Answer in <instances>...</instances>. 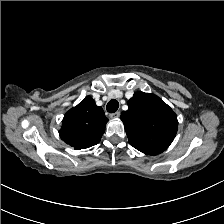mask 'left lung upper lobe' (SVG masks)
Here are the masks:
<instances>
[{
  "label": "left lung upper lobe",
  "instance_id": "obj_1",
  "mask_svg": "<svg viewBox=\"0 0 224 224\" xmlns=\"http://www.w3.org/2000/svg\"><path fill=\"white\" fill-rule=\"evenodd\" d=\"M121 113L129 143L137 150L157 155L172 143L178 126L173 110L158 96L138 91Z\"/></svg>",
  "mask_w": 224,
  "mask_h": 224
}]
</instances>
